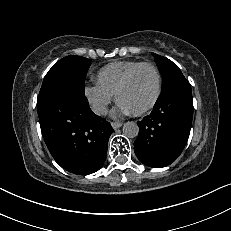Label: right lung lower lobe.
I'll use <instances>...</instances> for the list:
<instances>
[{
    "instance_id": "1",
    "label": "right lung lower lobe",
    "mask_w": 231,
    "mask_h": 231,
    "mask_svg": "<svg viewBox=\"0 0 231 231\" xmlns=\"http://www.w3.org/2000/svg\"><path fill=\"white\" fill-rule=\"evenodd\" d=\"M37 110L45 143L61 167L78 175L102 167L114 130L91 111L84 93L71 88L55 90L37 101Z\"/></svg>"
}]
</instances>
